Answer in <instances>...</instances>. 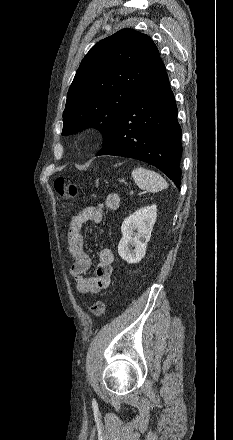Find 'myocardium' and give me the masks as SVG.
I'll use <instances>...</instances> for the list:
<instances>
[{"label": "myocardium", "instance_id": "obj_1", "mask_svg": "<svg viewBox=\"0 0 233 440\" xmlns=\"http://www.w3.org/2000/svg\"><path fill=\"white\" fill-rule=\"evenodd\" d=\"M84 139L86 142H92L95 139V134L93 132H87L84 135Z\"/></svg>", "mask_w": 233, "mask_h": 440}]
</instances>
